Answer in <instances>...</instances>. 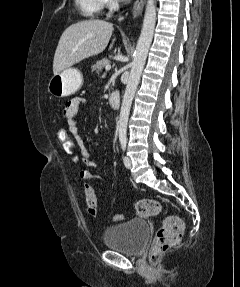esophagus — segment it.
<instances>
[{
    "instance_id": "obj_1",
    "label": "esophagus",
    "mask_w": 240,
    "mask_h": 287,
    "mask_svg": "<svg viewBox=\"0 0 240 287\" xmlns=\"http://www.w3.org/2000/svg\"><path fill=\"white\" fill-rule=\"evenodd\" d=\"M144 1L145 0H136L133 6V17L136 18L139 15H141L142 11H143V6H144Z\"/></svg>"
}]
</instances>
